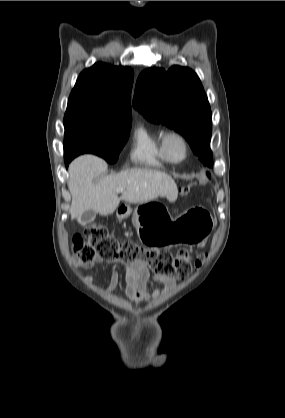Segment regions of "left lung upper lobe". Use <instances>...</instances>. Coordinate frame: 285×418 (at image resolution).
<instances>
[{
    "mask_svg": "<svg viewBox=\"0 0 285 418\" xmlns=\"http://www.w3.org/2000/svg\"><path fill=\"white\" fill-rule=\"evenodd\" d=\"M133 106L145 118L181 133L204 165L213 166L212 114L196 73L186 67L149 68L136 83Z\"/></svg>",
    "mask_w": 285,
    "mask_h": 418,
    "instance_id": "left-lung-upper-lobe-1",
    "label": "left lung upper lobe"
}]
</instances>
